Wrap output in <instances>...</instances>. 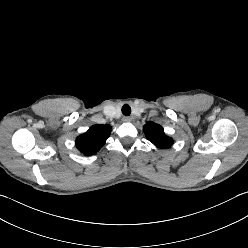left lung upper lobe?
Instances as JSON below:
<instances>
[{
    "label": "left lung upper lobe",
    "mask_w": 248,
    "mask_h": 248,
    "mask_svg": "<svg viewBox=\"0 0 248 248\" xmlns=\"http://www.w3.org/2000/svg\"><path fill=\"white\" fill-rule=\"evenodd\" d=\"M143 130L147 139L159 148H169L173 144V139L164 134L159 124L147 122Z\"/></svg>",
    "instance_id": "1"
}]
</instances>
